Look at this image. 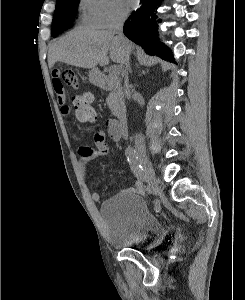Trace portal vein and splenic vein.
<instances>
[{"label":"portal vein and splenic vein","mask_w":245,"mask_h":300,"mask_svg":"<svg viewBox=\"0 0 245 300\" xmlns=\"http://www.w3.org/2000/svg\"><path fill=\"white\" fill-rule=\"evenodd\" d=\"M119 71H120V69L117 66H114L111 68L110 73L113 75H116L119 73Z\"/></svg>","instance_id":"portal-vein-and-splenic-vein-1"}]
</instances>
